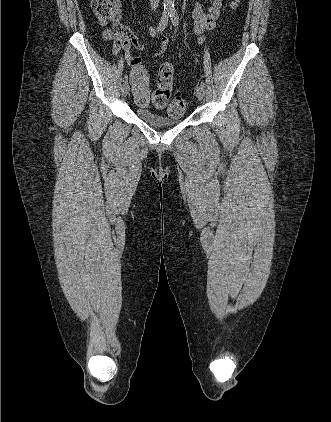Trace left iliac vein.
I'll use <instances>...</instances> for the list:
<instances>
[{"label": "left iliac vein", "instance_id": "obj_1", "mask_svg": "<svg viewBox=\"0 0 331 422\" xmlns=\"http://www.w3.org/2000/svg\"><path fill=\"white\" fill-rule=\"evenodd\" d=\"M195 94H196V97H197L199 100H202V99H203V97H204V89H203V88H201L200 86H197V87L195 88Z\"/></svg>", "mask_w": 331, "mask_h": 422}]
</instances>
